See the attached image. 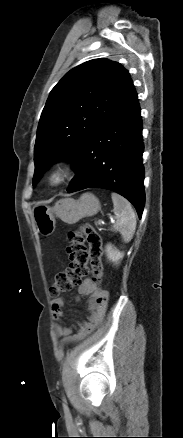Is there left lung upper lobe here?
I'll return each mask as SVG.
<instances>
[{
    "label": "left lung upper lobe",
    "instance_id": "1",
    "mask_svg": "<svg viewBox=\"0 0 183 438\" xmlns=\"http://www.w3.org/2000/svg\"><path fill=\"white\" fill-rule=\"evenodd\" d=\"M133 88L128 71L108 59L91 60L66 73L52 89L40 117L33 184L51 164L75 158Z\"/></svg>",
    "mask_w": 183,
    "mask_h": 438
}]
</instances>
